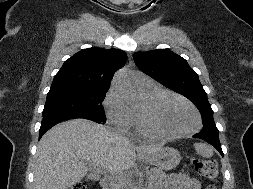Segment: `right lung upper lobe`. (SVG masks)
Instances as JSON below:
<instances>
[{
    "label": "right lung upper lobe",
    "mask_w": 253,
    "mask_h": 189,
    "mask_svg": "<svg viewBox=\"0 0 253 189\" xmlns=\"http://www.w3.org/2000/svg\"><path fill=\"white\" fill-rule=\"evenodd\" d=\"M126 60L127 55L122 50L83 49L64 62L55 75L51 88L109 87L114 72L123 67Z\"/></svg>",
    "instance_id": "cb5924a9"
}]
</instances>
